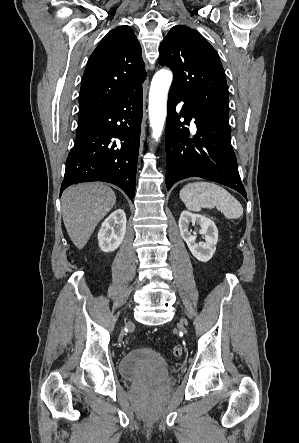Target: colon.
I'll return each mask as SVG.
<instances>
[{"label": "colon", "instance_id": "obj_1", "mask_svg": "<svg viewBox=\"0 0 299 443\" xmlns=\"http://www.w3.org/2000/svg\"><path fill=\"white\" fill-rule=\"evenodd\" d=\"M172 354L176 358H181L182 355H183V348H182V346L181 345H175L172 348Z\"/></svg>", "mask_w": 299, "mask_h": 443}]
</instances>
